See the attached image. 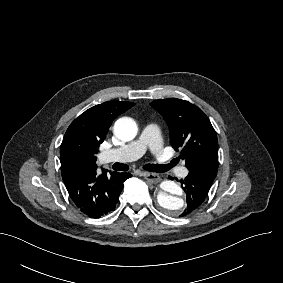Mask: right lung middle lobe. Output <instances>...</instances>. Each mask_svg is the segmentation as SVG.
Returning a JSON list of instances; mask_svg holds the SVG:
<instances>
[{
	"label": "right lung middle lobe",
	"mask_w": 283,
	"mask_h": 283,
	"mask_svg": "<svg viewBox=\"0 0 283 283\" xmlns=\"http://www.w3.org/2000/svg\"><path fill=\"white\" fill-rule=\"evenodd\" d=\"M60 161L61 174L63 177L72 172L82 170L85 164V157L78 151H70L64 155L61 154Z\"/></svg>",
	"instance_id": "right-lung-middle-lobe-1"
}]
</instances>
